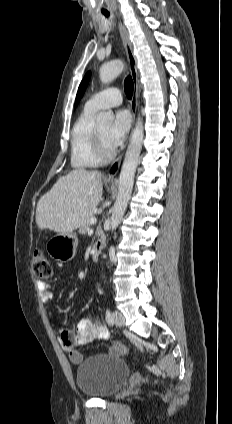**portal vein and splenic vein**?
Returning <instances> with one entry per match:
<instances>
[{
  "instance_id": "18ae733b",
  "label": "portal vein and splenic vein",
  "mask_w": 232,
  "mask_h": 424,
  "mask_svg": "<svg viewBox=\"0 0 232 424\" xmlns=\"http://www.w3.org/2000/svg\"><path fill=\"white\" fill-rule=\"evenodd\" d=\"M96 222H97V219H96V218H91V219H90V223H91V224H93V225H94V224H96Z\"/></svg>"
}]
</instances>
